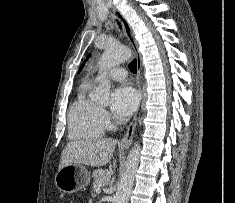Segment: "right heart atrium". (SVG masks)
I'll return each mask as SVG.
<instances>
[{
    "mask_svg": "<svg viewBox=\"0 0 235 203\" xmlns=\"http://www.w3.org/2000/svg\"><path fill=\"white\" fill-rule=\"evenodd\" d=\"M100 114H101V118H102V121L104 122V124L106 126H109L111 123V119H110L109 114L105 110H101Z\"/></svg>",
    "mask_w": 235,
    "mask_h": 203,
    "instance_id": "obj_1",
    "label": "right heart atrium"
}]
</instances>
